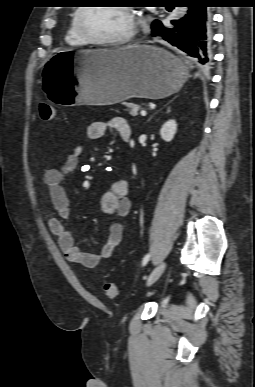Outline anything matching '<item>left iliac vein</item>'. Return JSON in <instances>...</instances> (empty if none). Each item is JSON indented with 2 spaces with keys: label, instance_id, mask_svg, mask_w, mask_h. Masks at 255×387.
I'll list each match as a JSON object with an SVG mask.
<instances>
[{
  "label": "left iliac vein",
  "instance_id": "obj_1",
  "mask_svg": "<svg viewBox=\"0 0 255 387\" xmlns=\"http://www.w3.org/2000/svg\"><path fill=\"white\" fill-rule=\"evenodd\" d=\"M165 268H166L165 262H162L161 264H159L149 275V277L147 279V286H151L152 284H154L159 279V277L162 275Z\"/></svg>",
  "mask_w": 255,
  "mask_h": 387
}]
</instances>
